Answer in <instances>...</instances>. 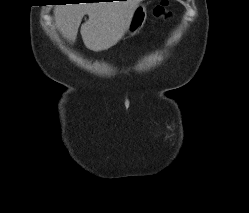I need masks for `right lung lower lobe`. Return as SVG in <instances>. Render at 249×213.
<instances>
[{
    "instance_id": "98d812e1",
    "label": "right lung lower lobe",
    "mask_w": 249,
    "mask_h": 213,
    "mask_svg": "<svg viewBox=\"0 0 249 213\" xmlns=\"http://www.w3.org/2000/svg\"><path fill=\"white\" fill-rule=\"evenodd\" d=\"M90 1H98V0H90ZM93 3V2H92Z\"/></svg>"
}]
</instances>
